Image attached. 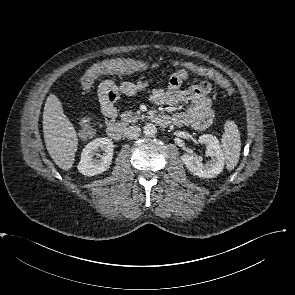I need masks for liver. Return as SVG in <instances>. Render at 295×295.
I'll use <instances>...</instances> for the list:
<instances>
[{
  "instance_id": "liver-1",
  "label": "liver",
  "mask_w": 295,
  "mask_h": 295,
  "mask_svg": "<svg viewBox=\"0 0 295 295\" xmlns=\"http://www.w3.org/2000/svg\"><path fill=\"white\" fill-rule=\"evenodd\" d=\"M42 117L44 141L50 157L62 170H70L78 147L77 132L55 94L47 97Z\"/></svg>"
}]
</instances>
